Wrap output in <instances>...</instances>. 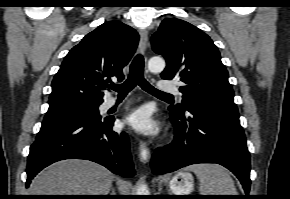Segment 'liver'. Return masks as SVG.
<instances>
[{"label": "liver", "mask_w": 290, "mask_h": 199, "mask_svg": "<svg viewBox=\"0 0 290 199\" xmlns=\"http://www.w3.org/2000/svg\"><path fill=\"white\" fill-rule=\"evenodd\" d=\"M114 175L87 160L68 159L52 164L31 182V195H108Z\"/></svg>", "instance_id": "6515ba94"}]
</instances>
